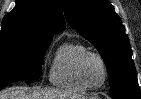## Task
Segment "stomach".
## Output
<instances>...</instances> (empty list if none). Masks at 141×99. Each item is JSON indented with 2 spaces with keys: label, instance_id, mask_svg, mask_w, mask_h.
<instances>
[{
  "label": "stomach",
  "instance_id": "stomach-1",
  "mask_svg": "<svg viewBox=\"0 0 141 99\" xmlns=\"http://www.w3.org/2000/svg\"><path fill=\"white\" fill-rule=\"evenodd\" d=\"M81 99H94V98H87V97H83V98H81Z\"/></svg>",
  "mask_w": 141,
  "mask_h": 99
}]
</instances>
